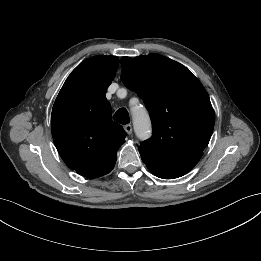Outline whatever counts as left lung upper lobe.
<instances>
[{"instance_id": "5c2ea615", "label": "left lung upper lobe", "mask_w": 261, "mask_h": 261, "mask_svg": "<svg viewBox=\"0 0 261 261\" xmlns=\"http://www.w3.org/2000/svg\"><path fill=\"white\" fill-rule=\"evenodd\" d=\"M121 79L144 101L152 137L139 147L147 168L186 174L211 138L215 114L200 81L182 64L159 54L121 58Z\"/></svg>"}]
</instances>
